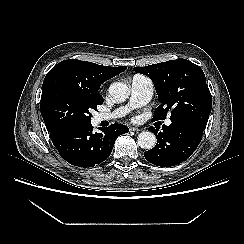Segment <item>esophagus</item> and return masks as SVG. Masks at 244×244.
I'll list each match as a JSON object with an SVG mask.
<instances>
[{
  "instance_id": "34e87169",
  "label": "esophagus",
  "mask_w": 244,
  "mask_h": 244,
  "mask_svg": "<svg viewBox=\"0 0 244 244\" xmlns=\"http://www.w3.org/2000/svg\"><path fill=\"white\" fill-rule=\"evenodd\" d=\"M129 130H130V131H133V132L140 131V129L137 128V127H130Z\"/></svg>"
}]
</instances>
